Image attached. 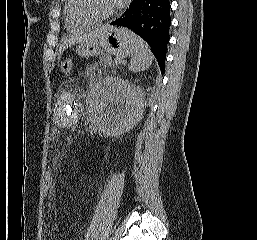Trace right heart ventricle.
Wrapping results in <instances>:
<instances>
[{"label": "right heart ventricle", "mask_w": 257, "mask_h": 240, "mask_svg": "<svg viewBox=\"0 0 257 240\" xmlns=\"http://www.w3.org/2000/svg\"><path fill=\"white\" fill-rule=\"evenodd\" d=\"M64 19L66 28L71 32L89 29L94 23L83 18L77 10L76 0H66L64 5Z\"/></svg>", "instance_id": "obj_1"}]
</instances>
